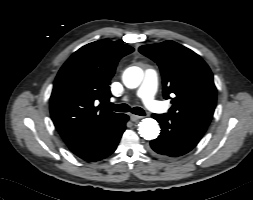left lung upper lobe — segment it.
Wrapping results in <instances>:
<instances>
[{
    "mask_svg": "<svg viewBox=\"0 0 253 200\" xmlns=\"http://www.w3.org/2000/svg\"><path fill=\"white\" fill-rule=\"evenodd\" d=\"M139 51L160 67L164 98L172 103L168 114L208 126L216 106V87L203 59L174 41L143 45Z\"/></svg>",
    "mask_w": 253,
    "mask_h": 200,
    "instance_id": "1",
    "label": "left lung upper lobe"
}]
</instances>
